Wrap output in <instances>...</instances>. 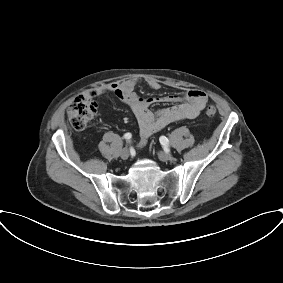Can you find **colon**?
I'll return each instance as SVG.
<instances>
[{"mask_svg":"<svg viewBox=\"0 0 283 283\" xmlns=\"http://www.w3.org/2000/svg\"><path fill=\"white\" fill-rule=\"evenodd\" d=\"M98 102L95 96L82 95L74 100L68 110V118L72 127L76 130H83L97 113ZM205 114L213 117L216 114V107L209 103L205 107Z\"/></svg>","mask_w":283,"mask_h":283,"instance_id":"colon-1","label":"colon"}]
</instances>
